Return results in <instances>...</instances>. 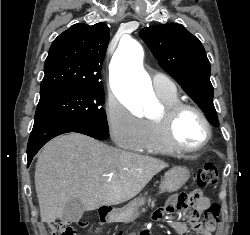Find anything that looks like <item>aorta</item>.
Listing matches in <instances>:
<instances>
[{
	"label": "aorta",
	"instance_id": "1",
	"mask_svg": "<svg viewBox=\"0 0 250 235\" xmlns=\"http://www.w3.org/2000/svg\"><path fill=\"white\" fill-rule=\"evenodd\" d=\"M143 48L135 40L122 42L110 63V81L116 97L128 108L152 101L151 79L144 70Z\"/></svg>",
	"mask_w": 250,
	"mask_h": 235
}]
</instances>
